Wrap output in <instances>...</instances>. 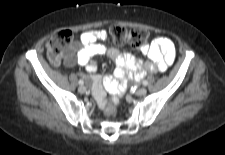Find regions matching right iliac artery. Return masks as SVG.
<instances>
[{
	"label": "right iliac artery",
	"instance_id": "82829eb1",
	"mask_svg": "<svg viewBox=\"0 0 225 155\" xmlns=\"http://www.w3.org/2000/svg\"><path fill=\"white\" fill-rule=\"evenodd\" d=\"M80 85H83L84 84V81L83 80H79L78 82Z\"/></svg>",
	"mask_w": 225,
	"mask_h": 155
}]
</instances>
